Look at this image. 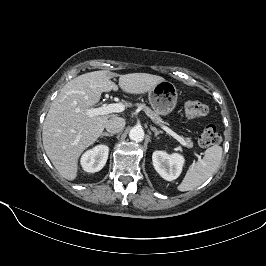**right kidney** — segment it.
Instances as JSON below:
<instances>
[{"instance_id":"obj_1","label":"right kidney","mask_w":266,"mask_h":266,"mask_svg":"<svg viewBox=\"0 0 266 266\" xmlns=\"http://www.w3.org/2000/svg\"><path fill=\"white\" fill-rule=\"evenodd\" d=\"M109 148L106 145H98L85 152L81 158V165L86 172L100 171L106 164Z\"/></svg>"}]
</instances>
